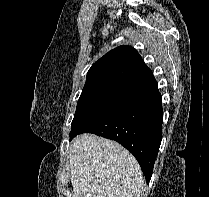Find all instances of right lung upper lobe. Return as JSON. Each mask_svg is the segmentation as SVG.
<instances>
[{
	"instance_id": "right-lung-upper-lobe-1",
	"label": "right lung upper lobe",
	"mask_w": 209,
	"mask_h": 197,
	"mask_svg": "<svg viewBox=\"0 0 209 197\" xmlns=\"http://www.w3.org/2000/svg\"><path fill=\"white\" fill-rule=\"evenodd\" d=\"M86 82H114L138 92L157 85L138 52L126 45L109 51L96 61L87 73Z\"/></svg>"
}]
</instances>
